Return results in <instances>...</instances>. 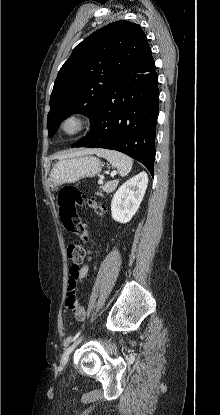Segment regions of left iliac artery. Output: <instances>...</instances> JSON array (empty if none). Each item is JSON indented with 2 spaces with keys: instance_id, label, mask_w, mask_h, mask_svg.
Masks as SVG:
<instances>
[{
  "instance_id": "1",
  "label": "left iliac artery",
  "mask_w": 220,
  "mask_h": 415,
  "mask_svg": "<svg viewBox=\"0 0 220 415\" xmlns=\"http://www.w3.org/2000/svg\"><path fill=\"white\" fill-rule=\"evenodd\" d=\"M81 332L82 331H79L75 336H74V338L72 339V341H75L78 337H79V335L81 334Z\"/></svg>"
}]
</instances>
